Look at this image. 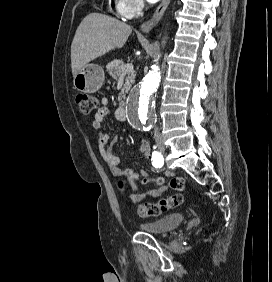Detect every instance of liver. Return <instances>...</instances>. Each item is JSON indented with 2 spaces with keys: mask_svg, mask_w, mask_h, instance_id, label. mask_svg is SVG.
I'll list each match as a JSON object with an SVG mask.
<instances>
[{
  "mask_svg": "<svg viewBox=\"0 0 272 282\" xmlns=\"http://www.w3.org/2000/svg\"><path fill=\"white\" fill-rule=\"evenodd\" d=\"M131 26L101 13L88 14L78 26L71 45L73 77L89 62L124 46Z\"/></svg>",
  "mask_w": 272,
  "mask_h": 282,
  "instance_id": "1",
  "label": "liver"
}]
</instances>
